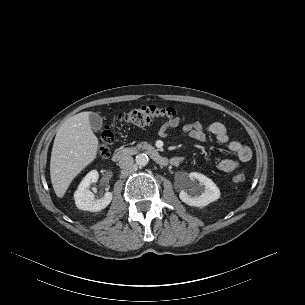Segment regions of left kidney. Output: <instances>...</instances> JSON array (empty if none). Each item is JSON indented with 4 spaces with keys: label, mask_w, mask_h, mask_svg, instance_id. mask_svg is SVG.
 <instances>
[{
    "label": "left kidney",
    "mask_w": 305,
    "mask_h": 305,
    "mask_svg": "<svg viewBox=\"0 0 305 305\" xmlns=\"http://www.w3.org/2000/svg\"><path fill=\"white\" fill-rule=\"evenodd\" d=\"M188 178V187L194 185L198 181L200 186H202V190L200 195H196L191 189H182L179 193V197L187 205L204 207L220 198L219 188L207 176L197 172H191L188 175Z\"/></svg>",
    "instance_id": "obj_1"
}]
</instances>
